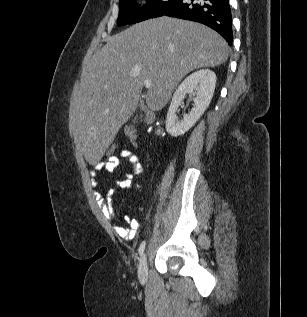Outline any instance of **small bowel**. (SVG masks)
Returning a JSON list of instances; mask_svg holds the SVG:
<instances>
[{
	"label": "small bowel",
	"instance_id": "c3829d8e",
	"mask_svg": "<svg viewBox=\"0 0 307 317\" xmlns=\"http://www.w3.org/2000/svg\"><path fill=\"white\" fill-rule=\"evenodd\" d=\"M120 157L130 164L132 172L126 173L125 178L117 182L116 188L108 190L104 197L101 195H98L97 197L101 207L102 214L108 220L113 219L115 215L112 208V199L115 195L116 189L130 188L132 185V176L134 174L141 173L143 170V165L139 157L133 151L128 149L122 150L118 157L98 162L95 165V169L99 171H105L107 173H112L119 167ZM124 220L128 224L127 227L114 225L113 230L118 236H120L124 240H132L135 237L136 230L139 228V222L131 218L130 216H125Z\"/></svg>",
	"mask_w": 307,
	"mask_h": 317
}]
</instances>
